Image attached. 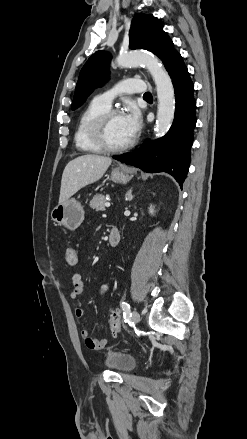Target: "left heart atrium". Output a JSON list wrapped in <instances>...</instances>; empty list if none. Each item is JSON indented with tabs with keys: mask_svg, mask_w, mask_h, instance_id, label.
<instances>
[{
	"mask_svg": "<svg viewBox=\"0 0 247 439\" xmlns=\"http://www.w3.org/2000/svg\"><path fill=\"white\" fill-rule=\"evenodd\" d=\"M122 120L128 135L133 138L141 127V117L135 106H129L127 111L122 115Z\"/></svg>",
	"mask_w": 247,
	"mask_h": 439,
	"instance_id": "obj_1",
	"label": "left heart atrium"
}]
</instances>
